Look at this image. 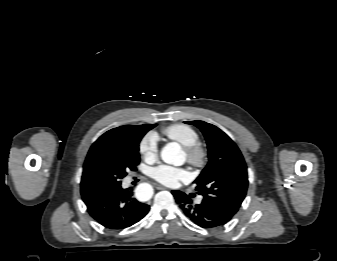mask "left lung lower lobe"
Instances as JSON below:
<instances>
[{
  "instance_id": "obj_1",
  "label": "left lung lower lobe",
  "mask_w": 337,
  "mask_h": 261,
  "mask_svg": "<svg viewBox=\"0 0 337 261\" xmlns=\"http://www.w3.org/2000/svg\"><path fill=\"white\" fill-rule=\"evenodd\" d=\"M172 194L184 214L202 228L221 227L234 216L224 207L211 200L204 198L201 204L193 206L191 200L183 192L172 191Z\"/></svg>"
}]
</instances>
